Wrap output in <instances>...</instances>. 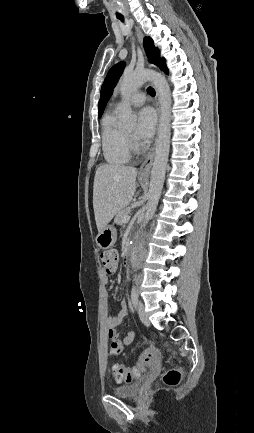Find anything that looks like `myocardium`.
I'll return each instance as SVG.
<instances>
[{
    "instance_id": "1",
    "label": "myocardium",
    "mask_w": 254,
    "mask_h": 433,
    "mask_svg": "<svg viewBox=\"0 0 254 433\" xmlns=\"http://www.w3.org/2000/svg\"><path fill=\"white\" fill-rule=\"evenodd\" d=\"M126 135H127L128 141L130 142L132 140L131 135L129 133H126Z\"/></svg>"
}]
</instances>
